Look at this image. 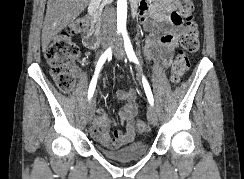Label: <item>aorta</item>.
I'll return each mask as SVG.
<instances>
[{
  "label": "aorta",
  "mask_w": 244,
  "mask_h": 179,
  "mask_svg": "<svg viewBox=\"0 0 244 179\" xmlns=\"http://www.w3.org/2000/svg\"><path fill=\"white\" fill-rule=\"evenodd\" d=\"M127 20V0H118L117 2V30L123 32L126 30Z\"/></svg>",
  "instance_id": "aorta-1"
}]
</instances>
